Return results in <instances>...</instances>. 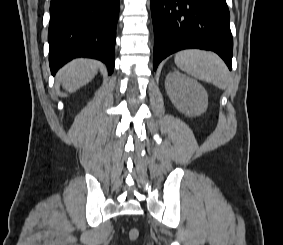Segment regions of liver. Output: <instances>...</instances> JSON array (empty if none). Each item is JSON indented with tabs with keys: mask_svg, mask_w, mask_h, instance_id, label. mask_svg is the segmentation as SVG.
I'll use <instances>...</instances> for the list:
<instances>
[{
	"mask_svg": "<svg viewBox=\"0 0 283 245\" xmlns=\"http://www.w3.org/2000/svg\"><path fill=\"white\" fill-rule=\"evenodd\" d=\"M99 62L91 59H76L58 72V79L69 93L89 83L97 74Z\"/></svg>",
	"mask_w": 283,
	"mask_h": 245,
	"instance_id": "obj_1",
	"label": "liver"
}]
</instances>
